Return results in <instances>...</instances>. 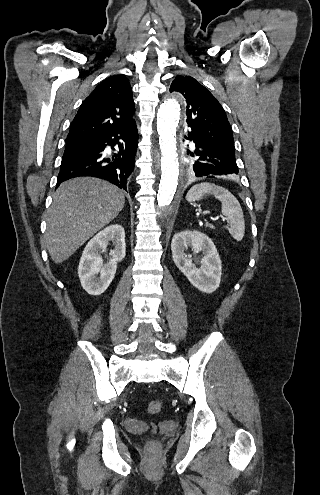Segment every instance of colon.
Listing matches in <instances>:
<instances>
[{"mask_svg":"<svg viewBox=\"0 0 320 495\" xmlns=\"http://www.w3.org/2000/svg\"><path fill=\"white\" fill-rule=\"evenodd\" d=\"M162 409V402L160 400H153L149 402L147 406V411L151 415L158 414ZM156 448V442L152 441L149 445L150 450H154Z\"/></svg>","mask_w":320,"mask_h":495,"instance_id":"1","label":"colon"}]
</instances>
